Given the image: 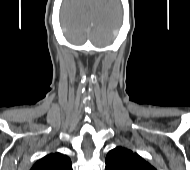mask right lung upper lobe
I'll list each match as a JSON object with an SVG mask.
<instances>
[{
  "label": "right lung upper lobe",
  "instance_id": "1",
  "mask_svg": "<svg viewBox=\"0 0 190 170\" xmlns=\"http://www.w3.org/2000/svg\"><path fill=\"white\" fill-rule=\"evenodd\" d=\"M31 170H72V164L68 156L56 152L37 161Z\"/></svg>",
  "mask_w": 190,
  "mask_h": 170
}]
</instances>
